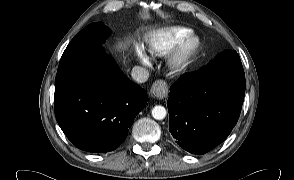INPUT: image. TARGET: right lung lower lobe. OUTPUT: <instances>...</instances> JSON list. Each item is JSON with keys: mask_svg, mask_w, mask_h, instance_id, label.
<instances>
[{"mask_svg": "<svg viewBox=\"0 0 294 180\" xmlns=\"http://www.w3.org/2000/svg\"><path fill=\"white\" fill-rule=\"evenodd\" d=\"M147 99V92L111 59H103L101 46L61 57L55 79V116L67 138L81 150L116 149Z\"/></svg>", "mask_w": 294, "mask_h": 180, "instance_id": "right-lung-lower-lobe-1", "label": "right lung lower lobe"}]
</instances>
